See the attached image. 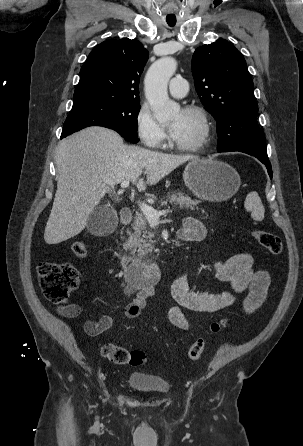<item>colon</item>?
I'll use <instances>...</instances> for the list:
<instances>
[{"instance_id": "obj_1", "label": "colon", "mask_w": 303, "mask_h": 446, "mask_svg": "<svg viewBox=\"0 0 303 446\" xmlns=\"http://www.w3.org/2000/svg\"><path fill=\"white\" fill-rule=\"evenodd\" d=\"M253 237L269 253L278 256L282 252L281 239L264 230H254ZM71 250L77 257L84 258L88 254L86 245L81 241H75ZM39 284L47 300L54 304L65 303L70 294L78 287L79 275L70 264L54 262H42L37 268ZM227 323V319H220L210 324L209 334L218 333ZM206 338L199 337L188 349L187 358L197 360L205 351ZM101 354L115 364H129L139 366L147 361V354L142 350H128L122 346L105 343L101 347Z\"/></svg>"}]
</instances>
